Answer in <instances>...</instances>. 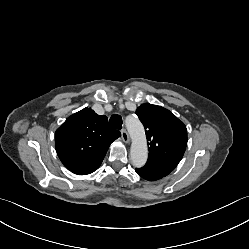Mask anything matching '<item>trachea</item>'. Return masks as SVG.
I'll use <instances>...</instances> for the list:
<instances>
[{
	"instance_id": "3493384b",
	"label": "trachea",
	"mask_w": 249,
	"mask_h": 249,
	"mask_svg": "<svg viewBox=\"0 0 249 249\" xmlns=\"http://www.w3.org/2000/svg\"><path fill=\"white\" fill-rule=\"evenodd\" d=\"M109 122L116 129L120 130L122 128V117L118 114H113L110 117Z\"/></svg>"
}]
</instances>
